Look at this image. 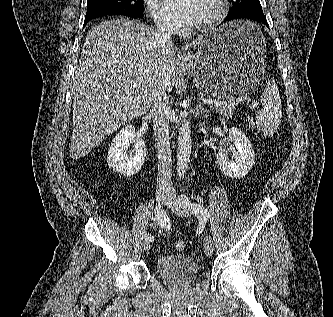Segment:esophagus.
<instances>
[{
	"instance_id": "34e87169",
	"label": "esophagus",
	"mask_w": 333,
	"mask_h": 317,
	"mask_svg": "<svg viewBox=\"0 0 333 317\" xmlns=\"http://www.w3.org/2000/svg\"><path fill=\"white\" fill-rule=\"evenodd\" d=\"M180 56H181L182 58H184V59L187 58V54H186V52L181 53Z\"/></svg>"
}]
</instances>
